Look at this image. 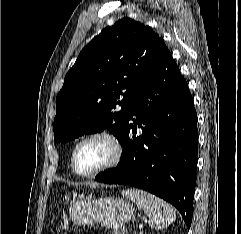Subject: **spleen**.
Listing matches in <instances>:
<instances>
[{
  "label": "spleen",
  "mask_w": 241,
  "mask_h": 234,
  "mask_svg": "<svg viewBox=\"0 0 241 234\" xmlns=\"http://www.w3.org/2000/svg\"><path fill=\"white\" fill-rule=\"evenodd\" d=\"M122 195L136 203L144 211L152 229L161 230L168 227L176 219L174 209L159 197L141 189L129 188Z\"/></svg>",
  "instance_id": "spleen-1"
}]
</instances>
